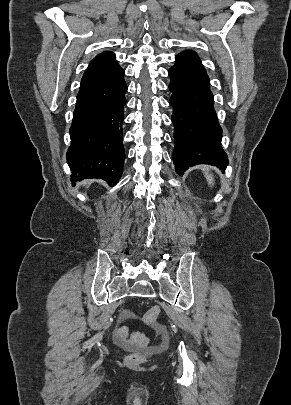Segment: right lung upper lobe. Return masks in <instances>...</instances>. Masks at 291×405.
Here are the masks:
<instances>
[{"label": "right lung upper lobe", "mask_w": 291, "mask_h": 405, "mask_svg": "<svg viewBox=\"0 0 291 405\" xmlns=\"http://www.w3.org/2000/svg\"><path fill=\"white\" fill-rule=\"evenodd\" d=\"M122 70L114 53L103 52L90 62L82 77L80 88L114 77Z\"/></svg>", "instance_id": "cb5924a9"}]
</instances>
